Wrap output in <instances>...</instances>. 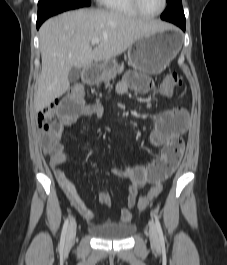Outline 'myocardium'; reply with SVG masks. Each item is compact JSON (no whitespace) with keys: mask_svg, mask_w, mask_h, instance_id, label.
Here are the masks:
<instances>
[{"mask_svg":"<svg viewBox=\"0 0 227 265\" xmlns=\"http://www.w3.org/2000/svg\"><path fill=\"white\" fill-rule=\"evenodd\" d=\"M131 3L133 5V7L135 8V10L143 17H146V18H154V17H157L159 16L161 13H163V11L165 10L166 6H167V0H162V7L161 9L154 13V14H148V13H145L141 6H140V2L139 0H131Z\"/></svg>","mask_w":227,"mask_h":265,"instance_id":"f54148a6","label":"myocardium"}]
</instances>
